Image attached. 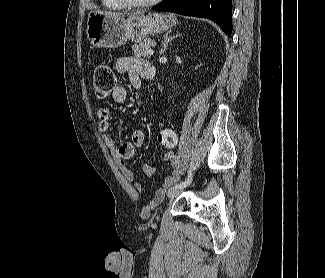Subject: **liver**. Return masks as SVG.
Instances as JSON below:
<instances>
[{"mask_svg": "<svg viewBox=\"0 0 325 278\" xmlns=\"http://www.w3.org/2000/svg\"><path fill=\"white\" fill-rule=\"evenodd\" d=\"M102 14L109 15V16H114V17H121L120 13H114V12H108V11H102ZM143 12H136L134 15H141Z\"/></svg>", "mask_w": 325, "mask_h": 278, "instance_id": "liver-1", "label": "liver"}]
</instances>
